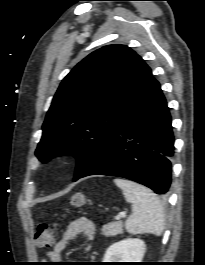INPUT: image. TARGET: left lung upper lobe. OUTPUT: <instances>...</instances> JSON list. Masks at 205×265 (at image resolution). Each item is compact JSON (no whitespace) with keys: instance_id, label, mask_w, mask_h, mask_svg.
Returning a JSON list of instances; mask_svg holds the SVG:
<instances>
[{"instance_id":"1","label":"left lung upper lobe","mask_w":205,"mask_h":265,"mask_svg":"<svg viewBox=\"0 0 205 265\" xmlns=\"http://www.w3.org/2000/svg\"><path fill=\"white\" fill-rule=\"evenodd\" d=\"M151 74L127 46L109 45L92 52L61 82L35 155L40 161L51 155L44 162L75 155L76 178L142 95Z\"/></svg>"}]
</instances>
